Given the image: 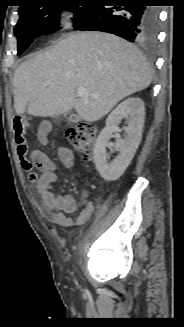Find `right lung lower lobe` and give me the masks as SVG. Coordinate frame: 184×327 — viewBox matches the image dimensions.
<instances>
[{"label": "right lung lower lobe", "instance_id": "98d812e1", "mask_svg": "<svg viewBox=\"0 0 184 327\" xmlns=\"http://www.w3.org/2000/svg\"><path fill=\"white\" fill-rule=\"evenodd\" d=\"M125 6L94 5L75 29L113 33L130 42L152 45L158 33V10L144 0H127Z\"/></svg>", "mask_w": 184, "mask_h": 327}]
</instances>
